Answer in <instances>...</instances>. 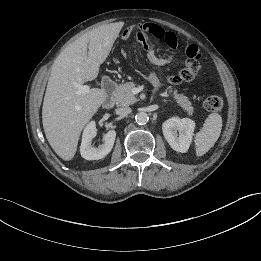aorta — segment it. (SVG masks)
Here are the masks:
<instances>
[{
	"label": "aorta",
	"instance_id": "1",
	"mask_svg": "<svg viewBox=\"0 0 261 261\" xmlns=\"http://www.w3.org/2000/svg\"><path fill=\"white\" fill-rule=\"evenodd\" d=\"M136 123L139 125H145L147 124L149 117L148 114L145 112H139L135 116Z\"/></svg>",
	"mask_w": 261,
	"mask_h": 261
}]
</instances>
